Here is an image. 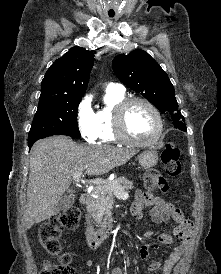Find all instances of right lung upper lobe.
Wrapping results in <instances>:
<instances>
[{"label": "right lung upper lobe", "mask_w": 221, "mask_h": 274, "mask_svg": "<svg viewBox=\"0 0 221 274\" xmlns=\"http://www.w3.org/2000/svg\"><path fill=\"white\" fill-rule=\"evenodd\" d=\"M94 55L82 47H72L47 70L42 80L40 99L78 98L84 94Z\"/></svg>", "instance_id": "cb5924a9"}]
</instances>
